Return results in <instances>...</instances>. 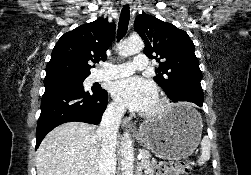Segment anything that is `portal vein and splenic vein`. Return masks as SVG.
I'll use <instances>...</instances> for the list:
<instances>
[{
	"instance_id": "portal-vein-and-splenic-vein-1",
	"label": "portal vein and splenic vein",
	"mask_w": 251,
	"mask_h": 175,
	"mask_svg": "<svg viewBox=\"0 0 251 175\" xmlns=\"http://www.w3.org/2000/svg\"><path fill=\"white\" fill-rule=\"evenodd\" d=\"M138 159L143 160L144 156L142 155V153H139V155H137ZM84 175H88V173H84Z\"/></svg>"
}]
</instances>
